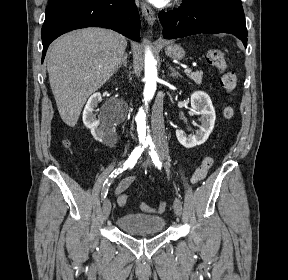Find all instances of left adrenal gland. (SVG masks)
Instances as JSON below:
<instances>
[{
	"label": "left adrenal gland",
	"mask_w": 288,
	"mask_h": 280,
	"mask_svg": "<svg viewBox=\"0 0 288 280\" xmlns=\"http://www.w3.org/2000/svg\"><path fill=\"white\" fill-rule=\"evenodd\" d=\"M170 68V70L172 71V73H171V77H181V75L173 68V67H169Z\"/></svg>",
	"instance_id": "a2214340"
}]
</instances>
